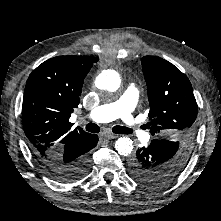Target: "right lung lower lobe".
Segmentation results:
<instances>
[{"mask_svg": "<svg viewBox=\"0 0 221 221\" xmlns=\"http://www.w3.org/2000/svg\"><path fill=\"white\" fill-rule=\"evenodd\" d=\"M98 142V136L91 134L83 145L69 142L61 149L47 152L43 156L35 155L41 167L60 182L76 181L89 171L90 150Z\"/></svg>", "mask_w": 221, "mask_h": 221, "instance_id": "1", "label": "right lung lower lobe"}]
</instances>
